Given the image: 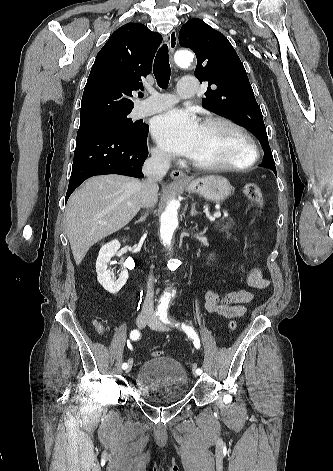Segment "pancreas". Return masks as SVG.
Segmentation results:
<instances>
[{
    "instance_id": "cf45deb5",
    "label": "pancreas",
    "mask_w": 333,
    "mask_h": 471,
    "mask_svg": "<svg viewBox=\"0 0 333 471\" xmlns=\"http://www.w3.org/2000/svg\"><path fill=\"white\" fill-rule=\"evenodd\" d=\"M234 222L232 219L224 217L221 221L215 223V228L221 232L228 231L232 228Z\"/></svg>"
}]
</instances>
